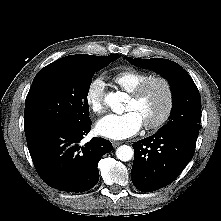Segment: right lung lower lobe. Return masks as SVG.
Listing matches in <instances>:
<instances>
[{
    "label": "right lung lower lobe",
    "mask_w": 221,
    "mask_h": 221,
    "mask_svg": "<svg viewBox=\"0 0 221 221\" xmlns=\"http://www.w3.org/2000/svg\"><path fill=\"white\" fill-rule=\"evenodd\" d=\"M90 125L91 121L81 125L53 124L26 136L34 166L47 185L78 193L97 184V164L101 156L112 150V144L94 137L81 146Z\"/></svg>",
    "instance_id": "98d812e1"
}]
</instances>
